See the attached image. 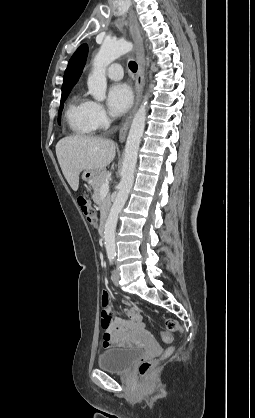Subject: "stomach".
I'll return each instance as SVG.
<instances>
[{
  "instance_id": "stomach-1",
  "label": "stomach",
  "mask_w": 255,
  "mask_h": 418,
  "mask_svg": "<svg viewBox=\"0 0 255 418\" xmlns=\"http://www.w3.org/2000/svg\"><path fill=\"white\" fill-rule=\"evenodd\" d=\"M100 174L101 171L99 170H84L82 173V179L90 186H93L97 182Z\"/></svg>"
}]
</instances>
